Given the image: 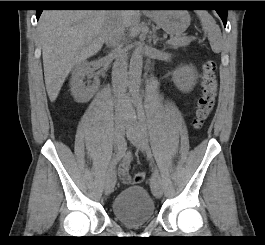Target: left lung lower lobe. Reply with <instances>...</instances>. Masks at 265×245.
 <instances>
[{"label":"left lung lower lobe","instance_id":"0a47b994","mask_svg":"<svg viewBox=\"0 0 265 245\" xmlns=\"http://www.w3.org/2000/svg\"><path fill=\"white\" fill-rule=\"evenodd\" d=\"M180 1H159V4L168 5V6H176L179 5ZM220 18L222 19L224 25L226 26L227 22V9H218L216 10Z\"/></svg>","mask_w":265,"mask_h":245}]
</instances>
